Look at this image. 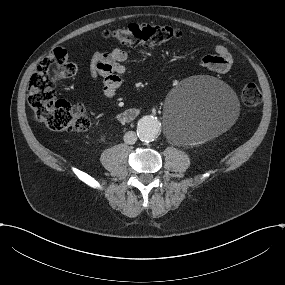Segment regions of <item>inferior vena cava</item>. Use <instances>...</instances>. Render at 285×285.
Segmentation results:
<instances>
[{"label":"inferior vena cava","instance_id":"1","mask_svg":"<svg viewBox=\"0 0 285 285\" xmlns=\"http://www.w3.org/2000/svg\"><path fill=\"white\" fill-rule=\"evenodd\" d=\"M137 141V135L135 132L133 131H128L125 133L124 135V142L126 144L132 145L135 144V142Z\"/></svg>","mask_w":285,"mask_h":285}]
</instances>
